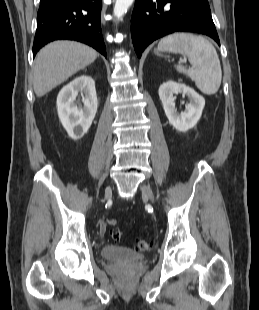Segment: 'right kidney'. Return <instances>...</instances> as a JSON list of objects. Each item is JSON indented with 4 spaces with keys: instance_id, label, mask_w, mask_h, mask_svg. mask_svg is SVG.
Returning a JSON list of instances; mask_svg holds the SVG:
<instances>
[{
    "instance_id": "1",
    "label": "right kidney",
    "mask_w": 259,
    "mask_h": 310,
    "mask_svg": "<svg viewBox=\"0 0 259 310\" xmlns=\"http://www.w3.org/2000/svg\"><path fill=\"white\" fill-rule=\"evenodd\" d=\"M78 94L82 96L83 107L77 101ZM97 106L95 81L90 76L76 77L61 89L57 97V112L69 137L77 140L88 132Z\"/></svg>"
}]
</instances>
